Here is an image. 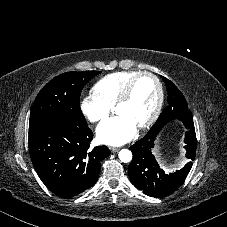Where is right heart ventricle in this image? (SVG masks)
Instances as JSON below:
<instances>
[{
    "label": "right heart ventricle",
    "instance_id": "right-heart-ventricle-1",
    "mask_svg": "<svg viewBox=\"0 0 227 227\" xmlns=\"http://www.w3.org/2000/svg\"><path fill=\"white\" fill-rule=\"evenodd\" d=\"M137 73L138 71H118L108 74L94 85L93 93L109 107H113L127 82Z\"/></svg>",
    "mask_w": 227,
    "mask_h": 227
}]
</instances>
